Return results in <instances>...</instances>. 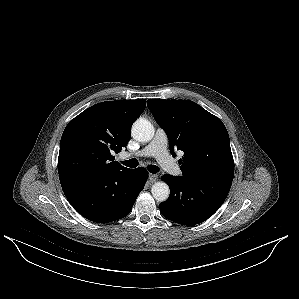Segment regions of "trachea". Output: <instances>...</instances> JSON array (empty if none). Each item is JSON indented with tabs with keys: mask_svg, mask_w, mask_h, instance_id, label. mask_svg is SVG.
<instances>
[{
	"mask_svg": "<svg viewBox=\"0 0 299 299\" xmlns=\"http://www.w3.org/2000/svg\"><path fill=\"white\" fill-rule=\"evenodd\" d=\"M122 164L130 168H135L138 166V160L137 159L125 160L122 162ZM148 170L149 172L155 174L159 171V167L156 165H149Z\"/></svg>",
	"mask_w": 299,
	"mask_h": 299,
	"instance_id": "3493384b",
	"label": "trachea"
}]
</instances>
